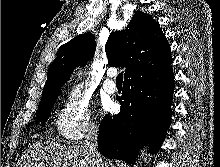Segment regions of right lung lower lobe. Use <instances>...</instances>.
<instances>
[{
	"label": "right lung lower lobe",
	"instance_id": "98d812e1",
	"mask_svg": "<svg viewBox=\"0 0 220 167\" xmlns=\"http://www.w3.org/2000/svg\"><path fill=\"white\" fill-rule=\"evenodd\" d=\"M172 60L127 76L121 111L106 115L100 124L98 148L107 158L135 163L139 148L150 145L155 153L170 122L174 92Z\"/></svg>",
	"mask_w": 220,
	"mask_h": 167
}]
</instances>
